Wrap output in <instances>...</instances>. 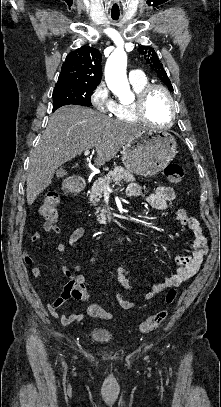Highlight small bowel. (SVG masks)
<instances>
[{
	"mask_svg": "<svg viewBox=\"0 0 221 407\" xmlns=\"http://www.w3.org/2000/svg\"><path fill=\"white\" fill-rule=\"evenodd\" d=\"M127 195L129 197L143 196L146 203L157 210H168L173 208L174 201L176 200L175 190L169 186L163 185L149 186L131 184L127 189ZM175 214L177 220L184 227L188 228L192 233V242L189 255L176 258V262L178 264L177 271L174 274L164 278L161 282H156L145 289L134 286L131 283L130 277L134 275V272L132 270L128 268H120L116 273V279L120 286L126 291L133 294L143 293L144 301H148L161 292L172 287H177L181 283L190 279L199 269L203 257L207 253V239L203 235L202 229L197 219L189 216L186 209L182 206H178L175 208ZM60 232L61 230L58 229L56 233ZM85 235L86 229L84 227H78L70 234L69 243L71 245H75L79 240L85 237ZM40 238L41 236L39 233L33 234L30 238L31 245L38 243ZM56 249L60 254L67 253V246L64 243H59ZM21 256L23 261L27 265L33 264L34 259L28 249L24 250ZM30 272L31 275L35 278L41 277L42 274L41 269L37 266H33ZM60 272L68 279L67 283L65 284V287L62 290L61 294L53 302L47 304V309L52 316L59 318L60 322L63 325H69L73 321L83 320L84 315L78 313L68 316H59L58 309L69 300H79L78 298L73 296L72 292L69 290V286L74 282H81L85 284L86 277L83 273L73 272L65 266L60 267ZM115 295L119 305L124 310H130L135 307L136 303L132 300L124 299L118 290L115 291Z\"/></svg>",
	"mask_w": 221,
	"mask_h": 407,
	"instance_id": "c3829d8e",
	"label": "small bowel"
}]
</instances>
